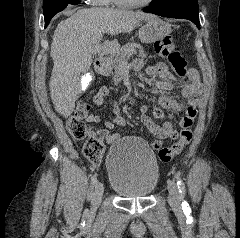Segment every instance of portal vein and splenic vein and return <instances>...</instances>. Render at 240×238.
I'll use <instances>...</instances> for the list:
<instances>
[{"label":"portal vein and splenic vein","instance_id":"obj_1","mask_svg":"<svg viewBox=\"0 0 240 238\" xmlns=\"http://www.w3.org/2000/svg\"><path fill=\"white\" fill-rule=\"evenodd\" d=\"M101 47L99 46V45H96V46H94V47H92L91 49H90V51H91V53L92 54H97V53H100L101 52ZM113 53H115V51L114 50H102V54L103 55H107V54H113Z\"/></svg>","mask_w":240,"mask_h":238}]
</instances>
